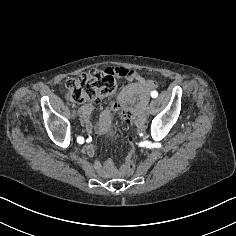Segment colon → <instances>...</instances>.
Wrapping results in <instances>:
<instances>
[{
  "label": "colon",
  "instance_id": "5ec220e1",
  "mask_svg": "<svg viewBox=\"0 0 236 236\" xmlns=\"http://www.w3.org/2000/svg\"><path fill=\"white\" fill-rule=\"evenodd\" d=\"M128 71L124 68L92 69L78 78H69L65 82L67 98L82 103L111 95L116 89V77H125ZM123 174L131 176L135 171V163L128 158L123 166Z\"/></svg>",
  "mask_w": 236,
  "mask_h": 236
}]
</instances>
